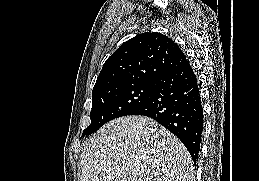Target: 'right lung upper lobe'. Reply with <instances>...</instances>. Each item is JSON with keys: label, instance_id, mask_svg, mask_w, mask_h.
Masks as SVG:
<instances>
[{"label": "right lung upper lobe", "instance_id": "cb5924a9", "mask_svg": "<svg viewBox=\"0 0 259 181\" xmlns=\"http://www.w3.org/2000/svg\"><path fill=\"white\" fill-rule=\"evenodd\" d=\"M186 61L180 47L161 33L146 32L123 43L104 63L92 94L138 83H155Z\"/></svg>", "mask_w": 259, "mask_h": 181}]
</instances>
